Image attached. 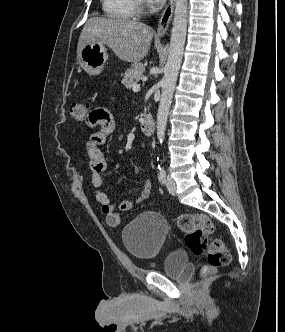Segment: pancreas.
I'll list each match as a JSON object with an SVG mask.
<instances>
[{
    "label": "pancreas",
    "mask_w": 285,
    "mask_h": 332,
    "mask_svg": "<svg viewBox=\"0 0 285 332\" xmlns=\"http://www.w3.org/2000/svg\"><path fill=\"white\" fill-rule=\"evenodd\" d=\"M144 67L141 63H136L127 69L123 74L122 84L126 85L127 88L136 85L144 74Z\"/></svg>",
    "instance_id": "1"
}]
</instances>
